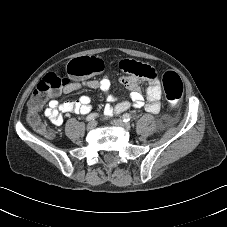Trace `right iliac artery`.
Here are the masks:
<instances>
[{"label":"right iliac artery","mask_w":227,"mask_h":227,"mask_svg":"<svg viewBox=\"0 0 227 227\" xmlns=\"http://www.w3.org/2000/svg\"><path fill=\"white\" fill-rule=\"evenodd\" d=\"M96 117H98L97 113H92L86 117L87 121H93Z\"/></svg>","instance_id":"obj_1"}]
</instances>
